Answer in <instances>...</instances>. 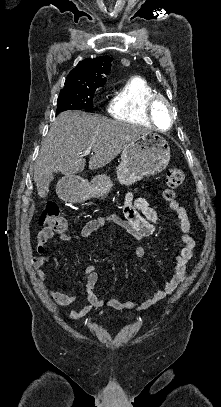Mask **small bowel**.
<instances>
[{"mask_svg":"<svg viewBox=\"0 0 221 407\" xmlns=\"http://www.w3.org/2000/svg\"><path fill=\"white\" fill-rule=\"evenodd\" d=\"M170 208L179 220L182 242L180 250L174 257L175 265L172 276L161 289L155 291L149 297L124 302L116 298L108 299L107 305L111 309L129 312L146 310L172 294L180 284L186 281L189 273L188 263L194 256L196 241L192 235L190 220L184 206L179 201H174L170 203ZM157 220V214L149 206L147 200L144 197L137 196L136 191H130L125 196L123 217L110 215L90 220L82 227L79 234L62 233L59 236V241L64 243L88 238L96 231L106 229L111 225H116L127 231L134 238L141 240L155 233ZM46 242L40 236L37 237L36 252L38 255L33 259V268L37 273L39 281L42 283L46 279L45 265L53 262L56 267H59L54 257L44 254ZM144 253L145 251L142 246H138L135 250V255L138 258L142 257ZM82 280L85 283L88 302L81 308L72 310L66 315V318L71 321L86 316L94 308L101 307L104 304V300L94 293V288L98 281V272L94 266L86 268L82 275ZM48 295L54 304L62 307L73 304L77 299L76 293H65L54 289H48Z\"/></svg>","mask_w":221,"mask_h":407,"instance_id":"c3829d8e","label":"small bowel"}]
</instances>
